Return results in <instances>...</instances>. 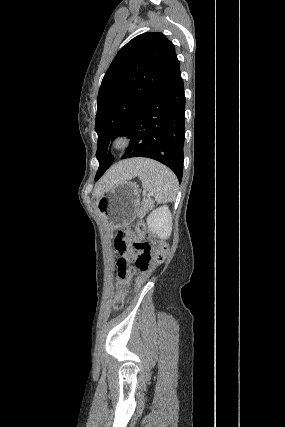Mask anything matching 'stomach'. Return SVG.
<instances>
[{
  "mask_svg": "<svg viewBox=\"0 0 285 427\" xmlns=\"http://www.w3.org/2000/svg\"><path fill=\"white\" fill-rule=\"evenodd\" d=\"M139 202L138 187L127 180L102 192L97 198L96 206L107 226L116 229L134 221Z\"/></svg>",
  "mask_w": 285,
  "mask_h": 427,
  "instance_id": "obj_1",
  "label": "stomach"
}]
</instances>
